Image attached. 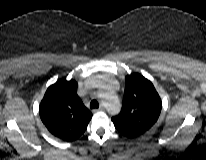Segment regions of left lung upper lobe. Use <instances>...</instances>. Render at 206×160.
I'll return each instance as SVG.
<instances>
[{
	"label": "left lung upper lobe",
	"mask_w": 206,
	"mask_h": 160,
	"mask_svg": "<svg viewBox=\"0 0 206 160\" xmlns=\"http://www.w3.org/2000/svg\"><path fill=\"white\" fill-rule=\"evenodd\" d=\"M161 109L162 102L153 84L134 73L126 76L122 109L112 121L122 135L135 138L153 127Z\"/></svg>",
	"instance_id": "5c2ea615"
}]
</instances>
